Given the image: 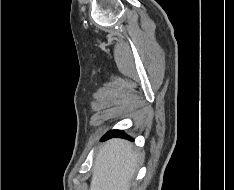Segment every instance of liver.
<instances>
[{
    "instance_id": "6515ba94",
    "label": "liver",
    "mask_w": 234,
    "mask_h": 190,
    "mask_svg": "<svg viewBox=\"0 0 234 190\" xmlns=\"http://www.w3.org/2000/svg\"><path fill=\"white\" fill-rule=\"evenodd\" d=\"M137 159L138 154L130 142L107 141L96 155L90 190H130Z\"/></svg>"
}]
</instances>
